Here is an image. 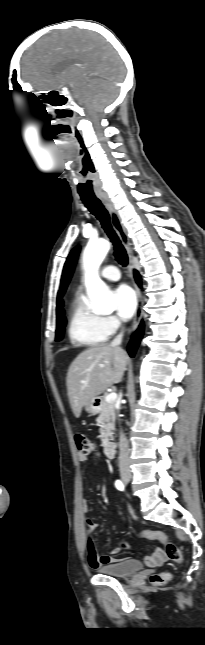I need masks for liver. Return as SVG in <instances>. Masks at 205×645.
Instances as JSON below:
<instances>
[{
  "label": "liver",
  "mask_w": 205,
  "mask_h": 645,
  "mask_svg": "<svg viewBox=\"0 0 205 645\" xmlns=\"http://www.w3.org/2000/svg\"><path fill=\"white\" fill-rule=\"evenodd\" d=\"M129 357L118 346L101 343L81 352L71 363L67 392L73 414L79 418L83 406L121 381Z\"/></svg>",
  "instance_id": "obj_1"
}]
</instances>
